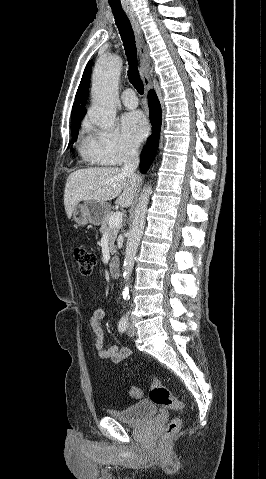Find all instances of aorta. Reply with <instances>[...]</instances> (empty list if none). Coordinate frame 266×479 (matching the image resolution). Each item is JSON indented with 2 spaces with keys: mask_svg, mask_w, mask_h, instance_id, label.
<instances>
[{
  "mask_svg": "<svg viewBox=\"0 0 266 479\" xmlns=\"http://www.w3.org/2000/svg\"><path fill=\"white\" fill-rule=\"evenodd\" d=\"M121 69L122 60L114 55L99 59L93 73L92 107L89 111V117L94 124L106 130H112L115 126L118 105V81ZM146 203L147 201L144 200L127 236L123 263L125 287L123 288L122 295L124 300L130 298L128 281L133 271L144 229L143 219Z\"/></svg>",
  "mask_w": 266,
  "mask_h": 479,
  "instance_id": "aorta-1",
  "label": "aorta"
}]
</instances>
